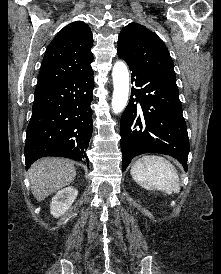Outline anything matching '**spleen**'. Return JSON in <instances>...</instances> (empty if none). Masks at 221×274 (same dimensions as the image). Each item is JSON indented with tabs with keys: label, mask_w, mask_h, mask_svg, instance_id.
<instances>
[{
	"label": "spleen",
	"mask_w": 221,
	"mask_h": 274,
	"mask_svg": "<svg viewBox=\"0 0 221 274\" xmlns=\"http://www.w3.org/2000/svg\"><path fill=\"white\" fill-rule=\"evenodd\" d=\"M133 180L142 188L166 194L180 192L176 168L160 156L148 155L138 159L130 170Z\"/></svg>",
	"instance_id": "1"
}]
</instances>
